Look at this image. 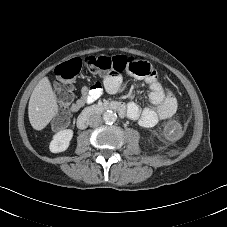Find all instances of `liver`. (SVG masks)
I'll list each match as a JSON object with an SVG mask.
<instances>
[{
  "label": "liver",
  "instance_id": "liver-1",
  "mask_svg": "<svg viewBox=\"0 0 227 227\" xmlns=\"http://www.w3.org/2000/svg\"><path fill=\"white\" fill-rule=\"evenodd\" d=\"M58 112L56 95L47 77L35 86L28 105V116L35 130L44 129Z\"/></svg>",
  "mask_w": 227,
  "mask_h": 227
}]
</instances>
